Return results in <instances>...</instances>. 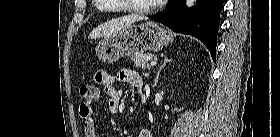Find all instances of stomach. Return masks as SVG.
<instances>
[{
    "mask_svg": "<svg viewBox=\"0 0 280 137\" xmlns=\"http://www.w3.org/2000/svg\"><path fill=\"white\" fill-rule=\"evenodd\" d=\"M171 40V35L157 23L131 25L101 40L96 47V55L104 63H114L124 56L160 51Z\"/></svg>",
    "mask_w": 280,
    "mask_h": 137,
    "instance_id": "0dacf381",
    "label": "stomach"
}]
</instances>
